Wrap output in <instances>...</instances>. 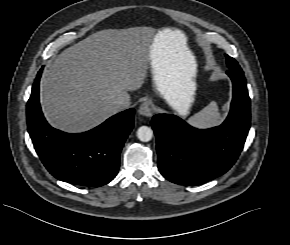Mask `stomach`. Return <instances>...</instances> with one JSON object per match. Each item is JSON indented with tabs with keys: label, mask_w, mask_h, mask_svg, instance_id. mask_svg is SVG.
Instances as JSON below:
<instances>
[{
	"label": "stomach",
	"mask_w": 290,
	"mask_h": 245,
	"mask_svg": "<svg viewBox=\"0 0 290 245\" xmlns=\"http://www.w3.org/2000/svg\"><path fill=\"white\" fill-rule=\"evenodd\" d=\"M158 38L151 47V74L157 92L179 113L185 117L189 114L194 101L196 84L194 79L190 82H180L175 90L169 89V75L163 67L158 55ZM194 78V77H193ZM173 96L175 99H173Z\"/></svg>",
	"instance_id": "1"
}]
</instances>
